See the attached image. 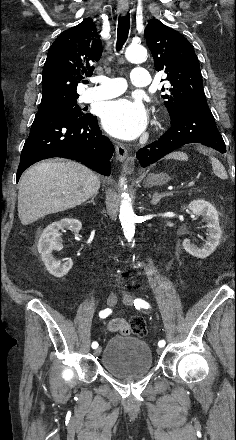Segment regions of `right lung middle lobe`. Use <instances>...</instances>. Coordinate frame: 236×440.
Masks as SVG:
<instances>
[{
    "instance_id": "right-lung-middle-lobe-1",
    "label": "right lung middle lobe",
    "mask_w": 236,
    "mask_h": 440,
    "mask_svg": "<svg viewBox=\"0 0 236 440\" xmlns=\"http://www.w3.org/2000/svg\"><path fill=\"white\" fill-rule=\"evenodd\" d=\"M39 110H56L65 113L72 114L74 116H81L83 113L81 112L80 107L77 105L76 101L60 103L45 107H39Z\"/></svg>"
}]
</instances>
